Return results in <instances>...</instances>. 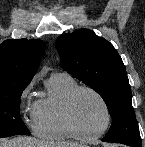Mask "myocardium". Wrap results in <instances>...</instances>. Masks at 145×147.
Instances as JSON below:
<instances>
[{"mask_svg": "<svg viewBox=\"0 0 145 147\" xmlns=\"http://www.w3.org/2000/svg\"><path fill=\"white\" fill-rule=\"evenodd\" d=\"M83 91H87L93 94L102 104L106 114V122L104 127L100 131L95 133L86 132L82 128V126L79 124L77 117L75 115L74 103L79 93ZM64 109H65V115H66L67 121L69 122L70 126L83 139L93 140V139L100 138L102 135H104L108 131V129L111 126L112 113H111L109 104L107 103L106 99L103 97V95L100 92H98L96 89L90 86H77L76 88H74L65 100Z\"/></svg>", "mask_w": 145, "mask_h": 147, "instance_id": "obj_1", "label": "myocardium"}]
</instances>
